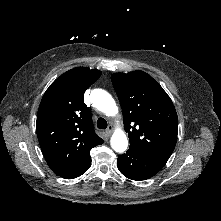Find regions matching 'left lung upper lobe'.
I'll return each instance as SVG.
<instances>
[{
    "label": "left lung upper lobe",
    "mask_w": 221,
    "mask_h": 221,
    "mask_svg": "<svg viewBox=\"0 0 221 221\" xmlns=\"http://www.w3.org/2000/svg\"><path fill=\"white\" fill-rule=\"evenodd\" d=\"M111 80L122 108L130 148L167 162L178 133V117L170 97L143 71L114 73Z\"/></svg>",
    "instance_id": "5c2ea615"
}]
</instances>
